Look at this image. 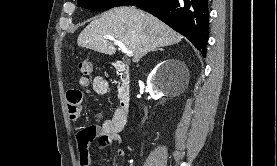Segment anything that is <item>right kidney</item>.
I'll return each mask as SVG.
<instances>
[{
  "label": "right kidney",
  "instance_id": "obj_1",
  "mask_svg": "<svg viewBox=\"0 0 277 166\" xmlns=\"http://www.w3.org/2000/svg\"><path fill=\"white\" fill-rule=\"evenodd\" d=\"M170 61H164L156 66V68L151 72L147 79V85L149 89L150 96L157 100L161 98L163 94V82L164 78L161 74L164 64H167ZM174 62V61H173ZM180 64V63H178Z\"/></svg>",
  "mask_w": 277,
  "mask_h": 166
}]
</instances>
